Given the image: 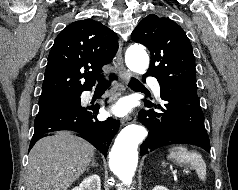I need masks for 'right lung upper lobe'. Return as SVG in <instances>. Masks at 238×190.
Returning <instances> with one entry per match:
<instances>
[{
    "instance_id": "right-lung-upper-lobe-1",
    "label": "right lung upper lobe",
    "mask_w": 238,
    "mask_h": 190,
    "mask_svg": "<svg viewBox=\"0 0 238 190\" xmlns=\"http://www.w3.org/2000/svg\"><path fill=\"white\" fill-rule=\"evenodd\" d=\"M117 49L116 34L100 22L85 19L71 23L50 50L39 101L80 96L91 90L94 77L112 61Z\"/></svg>"
}]
</instances>
